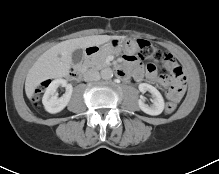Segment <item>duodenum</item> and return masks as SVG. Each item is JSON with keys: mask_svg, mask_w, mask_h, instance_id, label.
Returning <instances> with one entry per match:
<instances>
[{"mask_svg": "<svg viewBox=\"0 0 219 174\" xmlns=\"http://www.w3.org/2000/svg\"><path fill=\"white\" fill-rule=\"evenodd\" d=\"M99 47H89L85 50V55H84V59H83V65L81 66H78V67H74L70 70L69 72V75L71 78H74V79H79L82 77L83 73H84V70H85V64L87 63L88 59L99 52ZM117 74L119 76H123L121 70H117Z\"/></svg>", "mask_w": 219, "mask_h": 174, "instance_id": "1", "label": "duodenum"}]
</instances>
